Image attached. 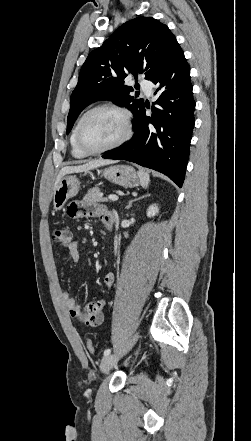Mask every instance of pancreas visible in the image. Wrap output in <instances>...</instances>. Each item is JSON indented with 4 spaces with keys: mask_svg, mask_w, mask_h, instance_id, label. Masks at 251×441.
Segmentation results:
<instances>
[{
    "mask_svg": "<svg viewBox=\"0 0 251 441\" xmlns=\"http://www.w3.org/2000/svg\"><path fill=\"white\" fill-rule=\"evenodd\" d=\"M101 190L99 187H94L88 190L87 194L85 195L84 199L91 201V202H107L108 199L104 198L100 195Z\"/></svg>",
    "mask_w": 251,
    "mask_h": 441,
    "instance_id": "pancreas-1",
    "label": "pancreas"
}]
</instances>
